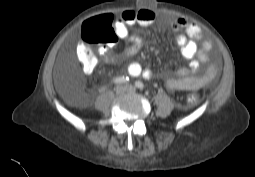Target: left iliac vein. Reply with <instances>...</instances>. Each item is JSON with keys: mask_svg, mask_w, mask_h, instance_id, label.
I'll return each mask as SVG.
<instances>
[{"mask_svg": "<svg viewBox=\"0 0 255 177\" xmlns=\"http://www.w3.org/2000/svg\"><path fill=\"white\" fill-rule=\"evenodd\" d=\"M128 92H133V88L131 86L127 87Z\"/></svg>", "mask_w": 255, "mask_h": 177, "instance_id": "left-iliac-vein-1", "label": "left iliac vein"}]
</instances>
